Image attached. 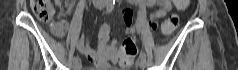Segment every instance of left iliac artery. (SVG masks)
<instances>
[{"label":"left iliac artery","mask_w":238,"mask_h":70,"mask_svg":"<svg viewBox=\"0 0 238 70\" xmlns=\"http://www.w3.org/2000/svg\"><path fill=\"white\" fill-rule=\"evenodd\" d=\"M140 58L146 60V54L144 52L140 53Z\"/></svg>","instance_id":"1"}]
</instances>
